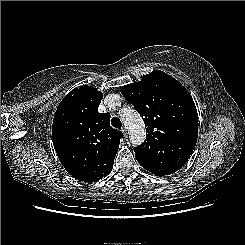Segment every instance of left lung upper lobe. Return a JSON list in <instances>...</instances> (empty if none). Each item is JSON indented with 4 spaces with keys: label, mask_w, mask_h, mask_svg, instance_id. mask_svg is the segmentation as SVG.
Masks as SVG:
<instances>
[{
    "label": "left lung upper lobe",
    "mask_w": 245,
    "mask_h": 245,
    "mask_svg": "<svg viewBox=\"0 0 245 245\" xmlns=\"http://www.w3.org/2000/svg\"><path fill=\"white\" fill-rule=\"evenodd\" d=\"M120 91L145 122L146 139L134 149L139 164L156 176L175 173L190 158L198 137V113L191 95L159 70Z\"/></svg>",
    "instance_id": "obj_1"
}]
</instances>
